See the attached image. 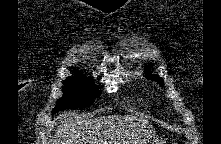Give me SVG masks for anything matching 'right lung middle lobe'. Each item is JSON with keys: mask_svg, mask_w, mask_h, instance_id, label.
Returning a JSON list of instances; mask_svg holds the SVG:
<instances>
[{"mask_svg": "<svg viewBox=\"0 0 221 144\" xmlns=\"http://www.w3.org/2000/svg\"><path fill=\"white\" fill-rule=\"evenodd\" d=\"M101 92L92 80L77 73L68 77L63 86V96L57 101L53 114L61 110L84 108L93 104Z\"/></svg>", "mask_w": 221, "mask_h": 144, "instance_id": "obj_1", "label": "right lung middle lobe"}]
</instances>
